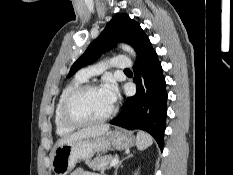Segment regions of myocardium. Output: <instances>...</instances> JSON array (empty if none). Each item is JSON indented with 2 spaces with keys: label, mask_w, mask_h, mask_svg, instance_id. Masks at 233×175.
Here are the masks:
<instances>
[{
  "label": "myocardium",
  "mask_w": 233,
  "mask_h": 175,
  "mask_svg": "<svg viewBox=\"0 0 233 175\" xmlns=\"http://www.w3.org/2000/svg\"><path fill=\"white\" fill-rule=\"evenodd\" d=\"M100 86L94 83H85L77 88H75L73 91H71L67 97L64 99L62 106H61V118L63 122L70 126V127H84V126H91L95 124H99L102 122H105L109 118H111L116 113V106L113 104L112 108L108 113L103 115L102 117L95 118V119H79L74 116L72 112V107L76 100L84 95L85 93L99 89Z\"/></svg>",
  "instance_id": "myocardium-1"
}]
</instances>
